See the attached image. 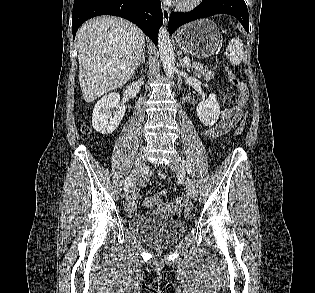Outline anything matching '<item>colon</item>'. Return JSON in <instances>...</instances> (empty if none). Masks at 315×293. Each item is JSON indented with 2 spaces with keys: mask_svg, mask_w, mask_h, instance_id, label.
Instances as JSON below:
<instances>
[{
  "mask_svg": "<svg viewBox=\"0 0 315 293\" xmlns=\"http://www.w3.org/2000/svg\"><path fill=\"white\" fill-rule=\"evenodd\" d=\"M227 75H228V79L231 82V84L238 91V94H239L238 107L242 111L241 116L243 117V118L242 117L238 118V120H237L238 126L235 130V135L237 136L243 131L244 125H246V123H247L246 117L248 116V113L246 111H243V110H246L245 106H246V103H247V100L249 97V90H248L247 85L243 81H241L232 71L228 70ZM83 131L85 133H87V132H89V128L84 127ZM175 202H176V205L178 207H181V208H183L187 205V200L184 197H177Z\"/></svg>",
  "mask_w": 315,
  "mask_h": 293,
  "instance_id": "colon-1",
  "label": "colon"
}]
</instances>
